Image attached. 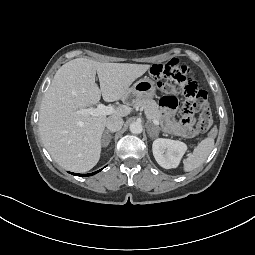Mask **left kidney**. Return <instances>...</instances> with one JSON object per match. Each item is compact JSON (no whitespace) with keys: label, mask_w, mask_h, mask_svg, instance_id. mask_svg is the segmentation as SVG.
I'll return each instance as SVG.
<instances>
[{"label":"left kidney","mask_w":255,"mask_h":255,"mask_svg":"<svg viewBox=\"0 0 255 255\" xmlns=\"http://www.w3.org/2000/svg\"><path fill=\"white\" fill-rule=\"evenodd\" d=\"M153 155L157 163L165 168H176L187 151V145L178 140L157 138L152 145Z\"/></svg>","instance_id":"1"}]
</instances>
